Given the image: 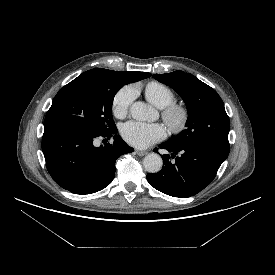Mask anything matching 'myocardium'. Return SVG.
Returning a JSON list of instances; mask_svg holds the SVG:
<instances>
[{"mask_svg":"<svg viewBox=\"0 0 275 275\" xmlns=\"http://www.w3.org/2000/svg\"><path fill=\"white\" fill-rule=\"evenodd\" d=\"M162 118L172 131H178L188 119V109L185 105L172 102L162 109Z\"/></svg>","mask_w":275,"mask_h":275,"instance_id":"obj_1","label":"myocardium"}]
</instances>
